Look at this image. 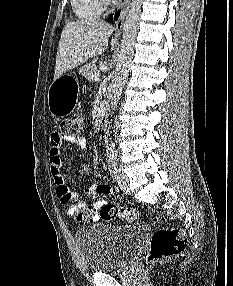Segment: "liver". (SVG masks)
<instances>
[{
	"label": "liver",
	"instance_id": "obj_1",
	"mask_svg": "<svg viewBox=\"0 0 233 286\" xmlns=\"http://www.w3.org/2000/svg\"><path fill=\"white\" fill-rule=\"evenodd\" d=\"M112 33L113 27L100 20L67 23L59 41L54 79L103 53Z\"/></svg>",
	"mask_w": 233,
	"mask_h": 286
}]
</instances>
